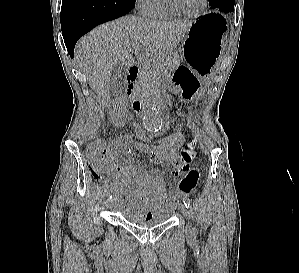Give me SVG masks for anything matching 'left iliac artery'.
I'll return each mask as SVG.
<instances>
[{
  "label": "left iliac artery",
  "instance_id": "44dca946",
  "mask_svg": "<svg viewBox=\"0 0 299 273\" xmlns=\"http://www.w3.org/2000/svg\"><path fill=\"white\" fill-rule=\"evenodd\" d=\"M183 203L185 204V206H186L187 208H190V207H191V201H190L189 198L184 197V198H183ZM193 231L195 232V229H194V228H193Z\"/></svg>",
  "mask_w": 299,
  "mask_h": 273
}]
</instances>
